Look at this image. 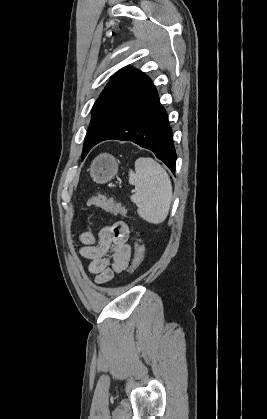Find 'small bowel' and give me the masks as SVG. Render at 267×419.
I'll list each match as a JSON object with an SVG mask.
<instances>
[{
    "mask_svg": "<svg viewBox=\"0 0 267 419\" xmlns=\"http://www.w3.org/2000/svg\"><path fill=\"white\" fill-rule=\"evenodd\" d=\"M129 228L124 222H116L100 229L96 238L85 232L80 240V255L88 260V271L95 275V283L104 284L114 279L128 267L131 247L128 244Z\"/></svg>",
    "mask_w": 267,
    "mask_h": 419,
    "instance_id": "c3829d8e",
    "label": "small bowel"
}]
</instances>
